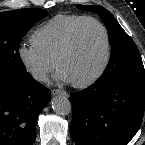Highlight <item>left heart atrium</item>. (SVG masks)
I'll list each match as a JSON object with an SVG mask.
<instances>
[{
  "label": "left heart atrium",
  "instance_id": "obj_1",
  "mask_svg": "<svg viewBox=\"0 0 145 145\" xmlns=\"http://www.w3.org/2000/svg\"><path fill=\"white\" fill-rule=\"evenodd\" d=\"M57 80L61 83H68L70 82L69 79L65 76L64 73H62L61 71L58 72L57 74Z\"/></svg>",
  "mask_w": 145,
  "mask_h": 145
}]
</instances>
